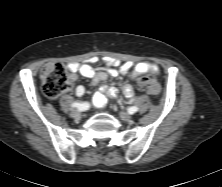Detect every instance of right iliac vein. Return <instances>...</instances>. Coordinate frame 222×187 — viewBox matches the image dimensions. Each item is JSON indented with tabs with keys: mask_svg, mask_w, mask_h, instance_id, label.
Returning <instances> with one entry per match:
<instances>
[{
	"mask_svg": "<svg viewBox=\"0 0 222 187\" xmlns=\"http://www.w3.org/2000/svg\"><path fill=\"white\" fill-rule=\"evenodd\" d=\"M70 117L74 118V119H78L80 117V111L79 110H72L70 112Z\"/></svg>",
	"mask_w": 222,
	"mask_h": 187,
	"instance_id": "right-iliac-vein-1",
	"label": "right iliac vein"
}]
</instances>
